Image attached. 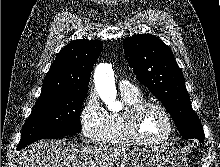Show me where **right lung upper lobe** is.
<instances>
[{
	"label": "right lung upper lobe",
	"instance_id": "cb5924a9",
	"mask_svg": "<svg viewBox=\"0 0 220 167\" xmlns=\"http://www.w3.org/2000/svg\"><path fill=\"white\" fill-rule=\"evenodd\" d=\"M103 48L99 40H75L57 55L45 76L38 99L66 90L87 89L91 70Z\"/></svg>",
	"mask_w": 220,
	"mask_h": 167
}]
</instances>
